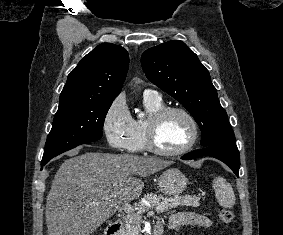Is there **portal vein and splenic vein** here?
Masks as SVG:
<instances>
[{"label": "portal vein and splenic vein", "instance_id": "portal-vein-and-splenic-vein-1", "mask_svg": "<svg viewBox=\"0 0 283 235\" xmlns=\"http://www.w3.org/2000/svg\"><path fill=\"white\" fill-rule=\"evenodd\" d=\"M121 209L127 214V215H131L133 213H135V209L127 202L122 203V207ZM154 215V211L150 210L147 213V217L153 216Z\"/></svg>", "mask_w": 283, "mask_h": 235}]
</instances>
